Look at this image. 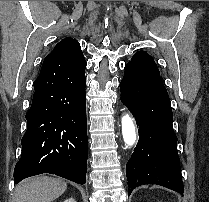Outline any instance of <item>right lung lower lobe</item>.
Masks as SVG:
<instances>
[{"label":"right lung lower lobe","instance_id":"1","mask_svg":"<svg viewBox=\"0 0 209 202\" xmlns=\"http://www.w3.org/2000/svg\"><path fill=\"white\" fill-rule=\"evenodd\" d=\"M55 58H45L34 81V95L26 114L22 155L14 170L15 183L51 173L78 184L86 182L87 119L85 75L61 74Z\"/></svg>","mask_w":209,"mask_h":202}]
</instances>
